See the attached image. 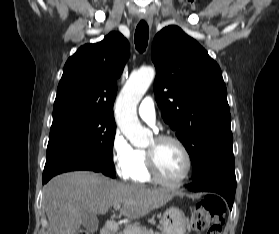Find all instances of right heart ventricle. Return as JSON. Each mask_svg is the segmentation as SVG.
<instances>
[{
  "instance_id": "e07e8e85",
  "label": "right heart ventricle",
  "mask_w": 279,
  "mask_h": 234,
  "mask_svg": "<svg viewBox=\"0 0 279 234\" xmlns=\"http://www.w3.org/2000/svg\"><path fill=\"white\" fill-rule=\"evenodd\" d=\"M128 180L134 183H150L152 178L148 171L145 149H134L133 161L128 171Z\"/></svg>"
}]
</instances>
